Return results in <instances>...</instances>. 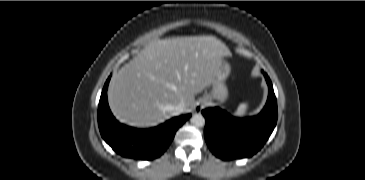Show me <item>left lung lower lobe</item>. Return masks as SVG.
<instances>
[{
    "instance_id": "left-lung-lower-lobe-1",
    "label": "left lung lower lobe",
    "mask_w": 365,
    "mask_h": 180,
    "mask_svg": "<svg viewBox=\"0 0 365 180\" xmlns=\"http://www.w3.org/2000/svg\"><path fill=\"white\" fill-rule=\"evenodd\" d=\"M265 107L257 116L235 118L219 108L202 111L206 124L204 136L210 150L223 160L251 157L259 151L277 123V101L271 80Z\"/></svg>"
}]
</instances>
